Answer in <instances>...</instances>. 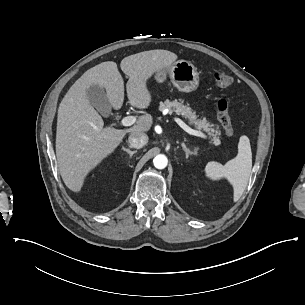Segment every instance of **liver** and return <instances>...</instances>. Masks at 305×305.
Returning <instances> with one entry per match:
<instances>
[{"mask_svg":"<svg viewBox=\"0 0 305 305\" xmlns=\"http://www.w3.org/2000/svg\"><path fill=\"white\" fill-rule=\"evenodd\" d=\"M177 60L176 54L166 50L123 58L120 69L128 77L129 104L138 110L148 109L153 101L149 80ZM92 86L106 91L113 110H120L124 103L123 80L112 61L86 71L65 95L59 109L56 157L63 182L74 193L83 191L88 175L116 151L126 135L146 134L154 123L153 116L145 114L138 116L130 128L103 130L104 121L87 97Z\"/></svg>","mask_w":305,"mask_h":305,"instance_id":"obj_1","label":"liver"}]
</instances>
